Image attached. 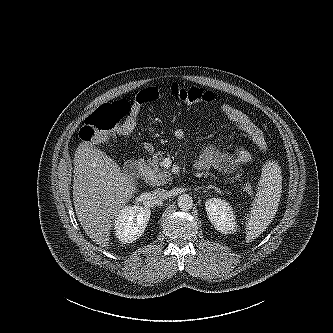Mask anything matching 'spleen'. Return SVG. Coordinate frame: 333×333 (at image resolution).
<instances>
[{
  "instance_id": "obj_1",
  "label": "spleen",
  "mask_w": 333,
  "mask_h": 333,
  "mask_svg": "<svg viewBox=\"0 0 333 333\" xmlns=\"http://www.w3.org/2000/svg\"><path fill=\"white\" fill-rule=\"evenodd\" d=\"M281 193V168L276 162L267 161L261 169L258 190L246 218V242H252L270 225L277 212Z\"/></svg>"
}]
</instances>
